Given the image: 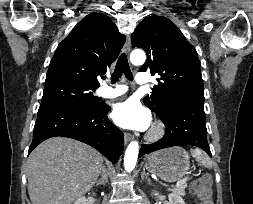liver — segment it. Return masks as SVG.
<instances>
[{"label":"liver","mask_w":253,"mask_h":204,"mask_svg":"<svg viewBox=\"0 0 253 204\" xmlns=\"http://www.w3.org/2000/svg\"><path fill=\"white\" fill-rule=\"evenodd\" d=\"M103 169L102 155L66 137L42 142L27 161L32 204H71L90 191Z\"/></svg>","instance_id":"obj_1"}]
</instances>
